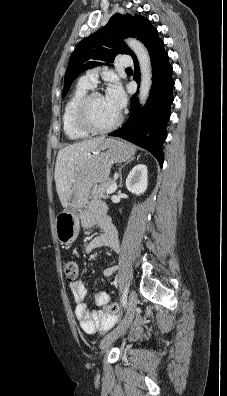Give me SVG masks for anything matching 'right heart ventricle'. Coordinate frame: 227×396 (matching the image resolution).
I'll use <instances>...</instances> for the list:
<instances>
[{"instance_id":"obj_1","label":"right heart ventricle","mask_w":227,"mask_h":396,"mask_svg":"<svg viewBox=\"0 0 227 396\" xmlns=\"http://www.w3.org/2000/svg\"><path fill=\"white\" fill-rule=\"evenodd\" d=\"M90 86L79 81L69 95L62 113V125L65 135L70 140H80L89 133L80 128L76 121V107L79 100L90 90Z\"/></svg>"}]
</instances>
